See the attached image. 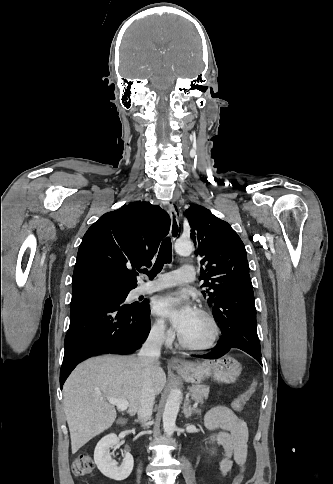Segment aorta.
Listing matches in <instances>:
<instances>
[{
  "instance_id": "aorta-1",
  "label": "aorta",
  "mask_w": 333,
  "mask_h": 484,
  "mask_svg": "<svg viewBox=\"0 0 333 484\" xmlns=\"http://www.w3.org/2000/svg\"><path fill=\"white\" fill-rule=\"evenodd\" d=\"M174 248L179 255H189L193 250V245L190 240L179 239L175 242ZM181 399V391L179 389H173L166 401L163 412V428L167 435H173L176 430L175 422Z\"/></svg>"
}]
</instances>
